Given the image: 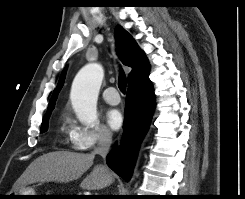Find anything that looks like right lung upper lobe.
Returning <instances> with one entry per match:
<instances>
[{
    "label": "right lung upper lobe",
    "instance_id": "obj_1",
    "mask_svg": "<svg viewBox=\"0 0 245 199\" xmlns=\"http://www.w3.org/2000/svg\"><path fill=\"white\" fill-rule=\"evenodd\" d=\"M115 38L118 54L122 63L133 68L128 75V87L143 86L150 83L147 59L131 35L122 26L117 25L115 29ZM65 74L66 68L60 75L58 85L53 91L45 116L51 114L54 109L58 93L64 84Z\"/></svg>",
    "mask_w": 245,
    "mask_h": 199
}]
</instances>
